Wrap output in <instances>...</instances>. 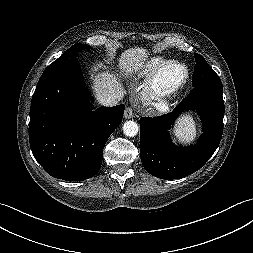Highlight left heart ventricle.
I'll return each instance as SVG.
<instances>
[{"label":"left heart ventricle","instance_id":"1","mask_svg":"<svg viewBox=\"0 0 253 253\" xmlns=\"http://www.w3.org/2000/svg\"><path fill=\"white\" fill-rule=\"evenodd\" d=\"M181 75H182L181 69L175 68V67H170L164 72L163 78H164V80H167V81H174V80H177L178 78H180Z\"/></svg>","mask_w":253,"mask_h":253}]
</instances>
